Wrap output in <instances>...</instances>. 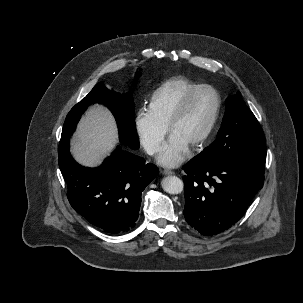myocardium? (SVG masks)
I'll use <instances>...</instances> for the list:
<instances>
[{
	"instance_id": "obj_1",
	"label": "myocardium",
	"mask_w": 303,
	"mask_h": 303,
	"mask_svg": "<svg viewBox=\"0 0 303 303\" xmlns=\"http://www.w3.org/2000/svg\"><path fill=\"white\" fill-rule=\"evenodd\" d=\"M203 89H208V90L212 91L215 94L216 106H215L213 116H212L207 128L200 135V137L191 145L192 149H194V150L199 149L200 147H202L206 143V141L211 136V134H212L217 122H218V119H219V116H220V113H221V109H222V98H221V95H220L219 91L215 87H213L212 85H209V84H199V85H197L196 87L191 89L183 97L180 104L178 105V107L176 108L174 113L172 114V116L169 120V123H168V129H169L170 132H172L176 123L182 118V116L187 111L193 97L199 91H201Z\"/></svg>"
}]
</instances>
